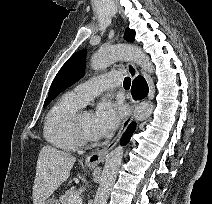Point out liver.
<instances>
[{
    "label": "liver",
    "mask_w": 212,
    "mask_h": 204,
    "mask_svg": "<svg viewBox=\"0 0 212 204\" xmlns=\"http://www.w3.org/2000/svg\"><path fill=\"white\" fill-rule=\"evenodd\" d=\"M75 161L76 157L50 145L42 147L36 166L33 204H43L62 183L67 181Z\"/></svg>",
    "instance_id": "liver-1"
}]
</instances>
